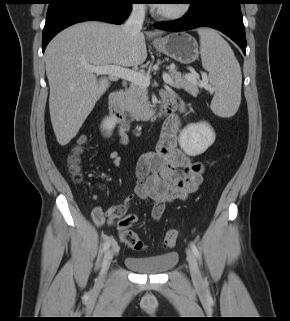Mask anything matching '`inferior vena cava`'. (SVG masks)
I'll use <instances>...</instances> for the list:
<instances>
[{"label": "inferior vena cava", "instance_id": "obj_1", "mask_svg": "<svg viewBox=\"0 0 290 321\" xmlns=\"http://www.w3.org/2000/svg\"><path fill=\"white\" fill-rule=\"evenodd\" d=\"M145 18V6L143 4L133 5L132 12L122 26V29L128 34L140 32Z\"/></svg>", "mask_w": 290, "mask_h": 321}]
</instances>
